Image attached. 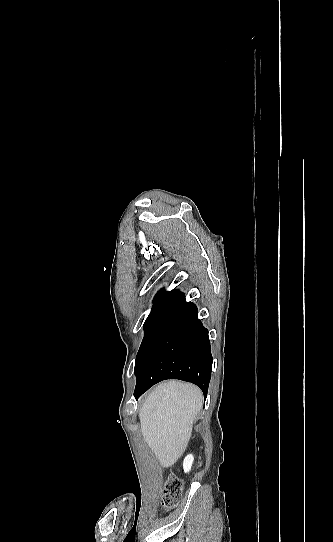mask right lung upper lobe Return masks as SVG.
Masks as SVG:
<instances>
[{
    "label": "right lung upper lobe",
    "mask_w": 333,
    "mask_h": 542,
    "mask_svg": "<svg viewBox=\"0 0 333 542\" xmlns=\"http://www.w3.org/2000/svg\"><path fill=\"white\" fill-rule=\"evenodd\" d=\"M169 293L170 292H165L164 289L159 290L154 297V300H153L154 304L157 305L158 303L163 301L169 295Z\"/></svg>",
    "instance_id": "right-lung-upper-lobe-1"
}]
</instances>
